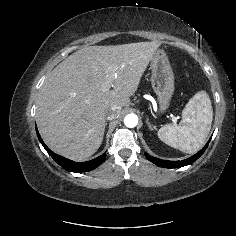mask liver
Segmentation results:
<instances>
[{
    "label": "liver",
    "instance_id": "6515ba94",
    "mask_svg": "<svg viewBox=\"0 0 236 236\" xmlns=\"http://www.w3.org/2000/svg\"><path fill=\"white\" fill-rule=\"evenodd\" d=\"M160 45L151 41L87 46L58 64L37 101L36 121L46 145L75 161L93 155L103 140L106 111L117 106L120 113L129 104ZM107 84L112 90H104Z\"/></svg>",
    "mask_w": 236,
    "mask_h": 236
}]
</instances>
